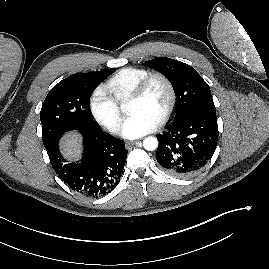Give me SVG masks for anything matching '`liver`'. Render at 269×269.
I'll return each instance as SVG.
<instances>
[{
	"label": "liver",
	"mask_w": 269,
	"mask_h": 269,
	"mask_svg": "<svg viewBox=\"0 0 269 269\" xmlns=\"http://www.w3.org/2000/svg\"><path fill=\"white\" fill-rule=\"evenodd\" d=\"M79 139L78 135L70 134L62 142V151L64 155L68 158H74L79 153Z\"/></svg>",
	"instance_id": "6515ba94"
}]
</instances>
